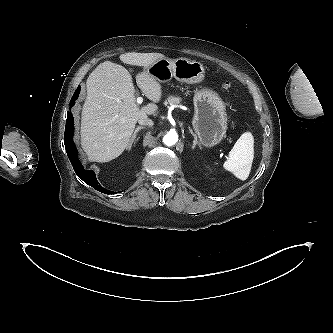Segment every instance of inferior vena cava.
I'll use <instances>...</instances> for the list:
<instances>
[{"instance_id":"inferior-vena-cava-1","label":"inferior vena cava","mask_w":333,"mask_h":333,"mask_svg":"<svg viewBox=\"0 0 333 333\" xmlns=\"http://www.w3.org/2000/svg\"><path fill=\"white\" fill-rule=\"evenodd\" d=\"M138 123L140 125H147V126H152L153 125V121L151 119H149L148 117H142L138 120Z\"/></svg>"}]
</instances>
